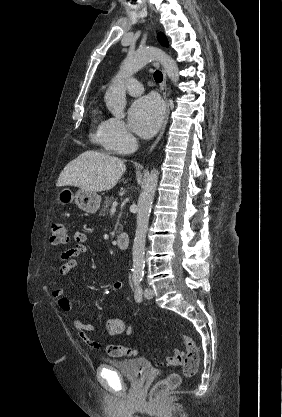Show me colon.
Returning a JSON list of instances; mask_svg holds the SVG:
<instances>
[{"mask_svg": "<svg viewBox=\"0 0 282 417\" xmlns=\"http://www.w3.org/2000/svg\"><path fill=\"white\" fill-rule=\"evenodd\" d=\"M69 241V232L63 223L55 222L51 227L50 242L54 245H63ZM182 342L185 349L188 350L184 371L181 373L185 376H191L199 367V348L195 341L186 334H181ZM109 356H132V347H109L107 349ZM183 357L180 349L174 350V356L169 359L168 364L175 367L179 366V358ZM181 376L179 374H170L164 379H157L152 389L147 390L149 403H166V393H171L172 388H177L180 384Z\"/></svg>", "mask_w": 282, "mask_h": 417, "instance_id": "1", "label": "colon"}]
</instances>
